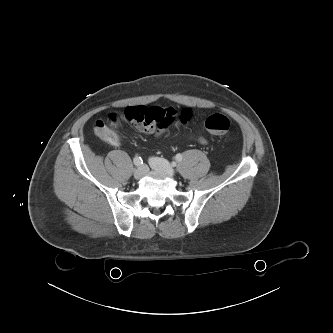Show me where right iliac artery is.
<instances>
[{
  "instance_id": "right-iliac-artery-1",
  "label": "right iliac artery",
  "mask_w": 333,
  "mask_h": 333,
  "mask_svg": "<svg viewBox=\"0 0 333 333\" xmlns=\"http://www.w3.org/2000/svg\"><path fill=\"white\" fill-rule=\"evenodd\" d=\"M134 164H135L136 166H141V165L143 164V160H142V158L139 157V156H136V157L134 158Z\"/></svg>"
}]
</instances>
